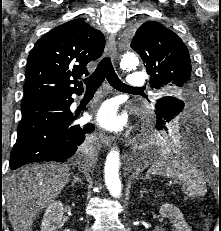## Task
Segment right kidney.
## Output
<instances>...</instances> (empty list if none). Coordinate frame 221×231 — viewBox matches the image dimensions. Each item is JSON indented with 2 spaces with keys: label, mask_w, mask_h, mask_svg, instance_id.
<instances>
[{
  "label": "right kidney",
  "mask_w": 221,
  "mask_h": 231,
  "mask_svg": "<svg viewBox=\"0 0 221 231\" xmlns=\"http://www.w3.org/2000/svg\"><path fill=\"white\" fill-rule=\"evenodd\" d=\"M63 210V204L60 201L51 203L45 210L41 231H58L63 226L61 222Z\"/></svg>",
  "instance_id": "1"
}]
</instances>
